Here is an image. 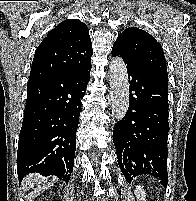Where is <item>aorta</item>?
<instances>
[{
	"instance_id": "aorta-1",
	"label": "aorta",
	"mask_w": 196,
	"mask_h": 201,
	"mask_svg": "<svg viewBox=\"0 0 196 201\" xmlns=\"http://www.w3.org/2000/svg\"><path fill=\"white\" fill-rule=\"evenodd\" d=\"M111 112L121 120L129 107V83L127 68L122 58L114 57L109 65Z\"/></svg>"
}]
</instances>
